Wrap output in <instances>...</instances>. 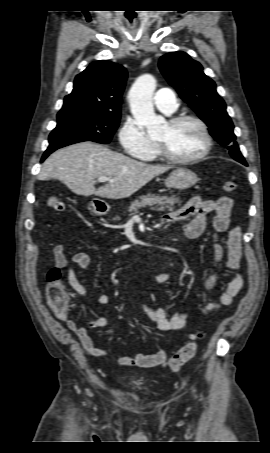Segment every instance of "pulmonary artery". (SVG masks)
Returning <instances> with one entry per match:
<instances>
[{"label": "pulmonary artery", "mask_w": 270, "mask_h": 453, "mask_svg": "<svg viewBox=\"0 0 270 453\" xmlns=\"http://www.w3.org/2000/svg\"><path fill=\"white\" fill-rule=\"evenodd\" d=\"M153 102L155 106L165 114L174 113L178 107L174 92L168 88L158 90L154 95Z\"/></svg>", "instance_id": "pulmonary-artery-1"}]
</instances>
